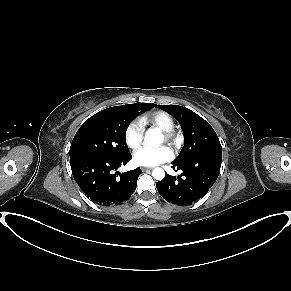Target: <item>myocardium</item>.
<instances>
[{
  "mask_svg": "<svg viewBox=\"0 0 291 291\" xmlns=\"http://www.w3.org/2000/svg\"><path fill=\"white\" fill-rule=\"evenodd\" d=\"M164 140L170 145L176 147L180 141L179 134L174 129L163 131Z\"/></svg>",
  "mask_w": 291,
  "mask_h": 291,
  "instance_id": "obj_1",
  "label": "myocardium"
}]
</instances>
